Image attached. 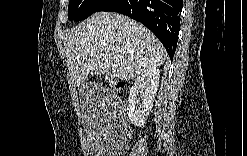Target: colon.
<instances>
[{"mask_svg": "<svg viewBox=\"0 0 247 156\" xmlns=\"http://www.w3.org/2000/svg\"><path fill=\"white\" fill-rule=\"evenodd\" d=\"M109 85L112 89H114L116 91H119L124 87V84L121 81L116 80V79H110Z\"/></svg>", "mask_w": 247, "mask_h": 156, "instance_id": "5ec220e1", "label": "colon"}]
</instances>
